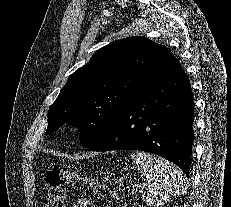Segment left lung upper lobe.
I'll list each match as a JSON object with an SVG mask.
<instances>
[{"mask_svg": "<svg viewBox=\"0 0 231 207\" xmlns=\"http://www.w3.org/2000/svg\"><path fill=\"white\" fill-rule=\"evenodd\" d=\"M166 51L145 37L124 38L98 50L68 78L50 106L45 134L70 123L79 129L82 145L93 146L146 88Z\"/></svg>", "mask_w": 231, "mask_h": 207, "instance_id": "obj_1", "label": "left lung upper lobe"}]
</instances>
